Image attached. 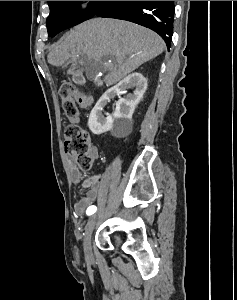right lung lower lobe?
<instances>
[{"instance_id": "1", "label": "right lung lower lobe", "mask_w": 237, "mask_h": 300, "mask_svg": "<svg viewBox=\"0 0 237 300\" xmlns=\"http://www.w3.org/2000/svg\"><path fill=\"white\" fill-rule=\"evenodd\" d=\"M174 7V1H105L95 15L127 20L150 28L164 39L169 49Z\"/></svg>"}]
</instances>
